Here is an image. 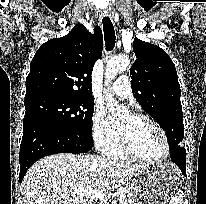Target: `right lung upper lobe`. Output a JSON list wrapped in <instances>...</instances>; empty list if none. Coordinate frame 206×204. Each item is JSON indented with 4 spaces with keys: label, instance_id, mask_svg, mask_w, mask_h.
Here are the masks:
<instances>
[{
    "label": "right lung upper lobe",
    "instance_id": "obj_1",
    "mask_svg": "<svg viewBox=\"0 0 206 204\" xmlns=\"http://www.w3.org/2000/svg\"><path fill=\"white\" fill-rule=\"evenodd\" d=\"M103 49L99 27L91 34L82 24L66 36L48 40L36 52L26 78V98L55 94L92 99L91 75Z\"/></svg>",
    "mask_w": 206,
    "mask_h": 204
}]
</instances>
